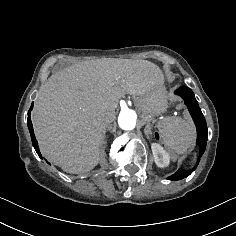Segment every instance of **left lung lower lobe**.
Returning <instances> with one entry per match:
<instances>
[{
  "label": "left lung lower lobe",
  "instance_id": "left-lung-lower-lobe-1",
  "mask_svg": "<svg viewBox=\"0 0 236 236\" xmlns=\"http://www.w3.org/2000/svg\"><path fill=\"white\" fill-rule=\"evenodd\" d=\"M175 94L181 96L184 99L185 104L189 109V112L197 128V145L199 146V155L197 157L195 166L189 170L178 169L173 175L168 177V179L170 180H181L188 177L198 166L200 158L202 157L206 148L208 140V129L205 118L201 112L197 100L195 99L193 91L190 88L183 86L175 90Z\"/></svg>",
  "mask_w": 236,
  "mask_h": 236
}]
</instances>
